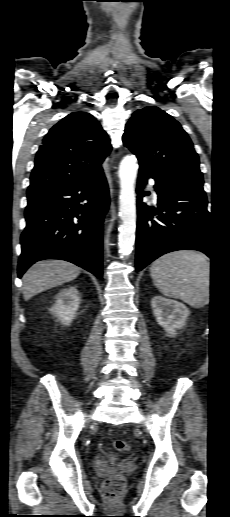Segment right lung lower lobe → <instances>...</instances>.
Returning a JSON list of instances; mask_svg holds the SVG:
<instances>
[{"label":"right lung lower lobe","mask_w":230,"mask_h":517,"mask_svg":"<svg viewBox=\"0 0 230 517\" xmlns=\"http://www.w3.org/2000/svg\"><path fill=\"white\" fill-rule=\"evenodd\" d=\"M27 198L19 278L36 261L51 258L72 262L101 279L103 219L109 207L103 171Z\"/></svg>","instance_id":"98d812e1"}]
</instances>
